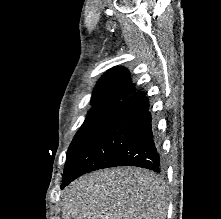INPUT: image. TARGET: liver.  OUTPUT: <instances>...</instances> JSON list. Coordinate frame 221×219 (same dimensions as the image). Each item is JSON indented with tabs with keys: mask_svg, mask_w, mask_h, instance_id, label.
Segmentation results:
<instances>
[{
	"mask_svg": "<svg viewBox=\"0 0 221 219\" xmlns=\"http://www.w3.org/2000/svg\"><path fill=\"white\" fill-rule=\"evenodd\" d=\"M63 219H165V186L153 172L119 167L72 182L63 193Z\"/></svg>",
	"mask_w": 221,
	"mask_h": 219,
	"instance_id": "liver-1",
	"label": "liver"
}]
</instances>
